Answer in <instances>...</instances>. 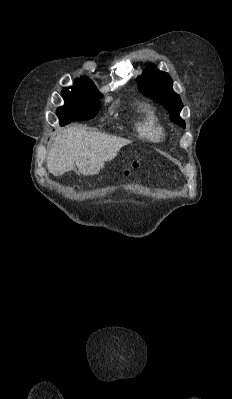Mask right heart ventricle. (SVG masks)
Wrapping results in <instances>:
<instances>
[{"label":"right heart ventricle","instance_id":"right-heart-ventricle-1","mask_svg":"<svg viewBox=\"0 0 232 399\" xmlns=\"http://www.w3.org/2000/svg\"><path fill=\"white\" fill-rule=\"evenodd\" d=\"M135 133L146 140L160 142L166 136V127L155 107L141 105L138 107V115L133 123Z\"/></svg>","mask_w":232,"mask_h":399}]
</instances>
